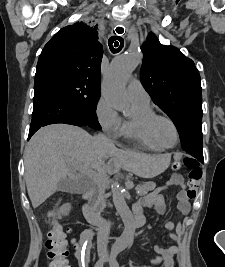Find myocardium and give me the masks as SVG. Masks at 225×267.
<instances>
[{
	"mask_svg": "<svg viewBox=\"0 0 225 267\" xmlns=\"http://www.w3.org/2000/svg\"><path fill=\"white\" fill-rule=\"evenodd\" d=\"M161 120H165L167 122H169L174 130H175V133H176V142L174 145H171V146H166V145H163L160 143L158 137H157V133H156V126H157V123ZM148 127H149V131L152 135V138L154 139V141L162 148V149H172V148H175L179 142H180V132H179V128L176 124V122L169 116L167 115H162V114H154L149 122H148Z\"/></svg>",
	"mask_w": 225,
	"mask_h": 267,
	"instance_id": "obj_1",
	"label": "myocardium"
}]
</instances>
